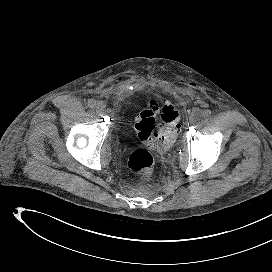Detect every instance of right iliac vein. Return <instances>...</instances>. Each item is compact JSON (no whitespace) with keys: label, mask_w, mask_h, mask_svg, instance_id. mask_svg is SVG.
Returning a JSON list of instances; mask_svg holds the SVG:
<instances>
[{"label":"right iliac vein","mask_w":272,"mask_h":272,"mask_svg":"<svg viewBox=\"0 0 272 272\" xmlns=\"http://www.w3.org/2000/svg\"><path fill=\"white\" fill-rule=\"evenodd\" d=\"M95 107L99 113H102L104 111L105 105L101 101H98Z\"/></svg>","instance_id":"right-iliac-vein-1"}]
</instances>
